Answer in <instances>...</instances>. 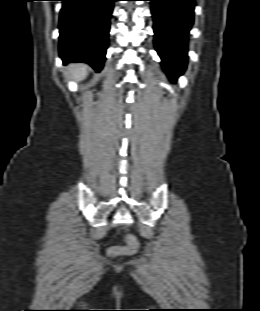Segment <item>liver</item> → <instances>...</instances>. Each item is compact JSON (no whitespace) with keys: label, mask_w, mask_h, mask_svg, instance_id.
Listing matches in <instances>:
<instances>
[{"label":"liver","mask_w":260,"mask_h":311,"mask_svg":"<svg viewBox=\"0 0 260 311\" xmlns=\"http://www.w3.org/2000/svg\"><path fill=\"white\" fill-rule=\"evenodd\" d=\"M72 78L80 81L87 75V67L84 64H72L69 66Z\"/></svg>","instance_id":"obj_1"}]
</instances>
